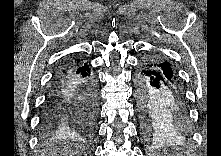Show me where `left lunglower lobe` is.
<instances>
[{
    "instance_id": "obj_1",
    "label": "left lung lower lobe",
    "mask_w": 221,
    "mask_h": 156,
    "mask_svg": "<svg viewBox=\"0 0 221 156\" xmlns=\"http://www.w3.org/2000/svg\"><path fill=\"white\" fill-rule=\"evenodd\" d=\"M136 85L141 132L146 140L188 130V103L175 73L141 61Z\"/></svg>"
}]
</instances>
